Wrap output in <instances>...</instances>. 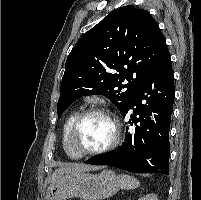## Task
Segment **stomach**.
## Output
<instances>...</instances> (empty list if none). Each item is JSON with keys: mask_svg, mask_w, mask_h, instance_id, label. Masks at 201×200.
<instances>
[{"mask_svg": "<svg viewBox=\"0 0 201 200\" xmlns=\"http://www.w3.org/2000/svg\"><path fill=\"white\" fill-rule=\"evenodd\" d=\"M119 187L118 177L111 170H103L98 174L73 173L51 182L45 200H66L70 197L102 200L114 195Z\"/></svg>", "mask_w": 201, "mask_h": 200, "instance_id": "0dacf381", "label": "stomach"}]
</instances>
